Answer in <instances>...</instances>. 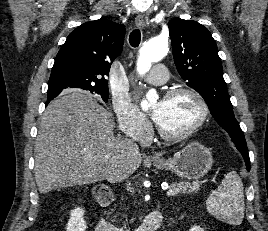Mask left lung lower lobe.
<instances>
[{"label": "left lung lower lobe", "mask_w": 268, "mask_h": 231, "mask_svg": "<svg viewBox=\"0 0 268 231\" xmlns=\"http://www.w3.org/2000/svg\"><path fill=\"white\" fill-rule=\"evenodd\" d=\"M240 153L242 154V156L245 160L247 170L250 171V160H249L248 151L247 150H240Z\"/></svg>", "instance_id": "0a47b994"}]
</instances>
